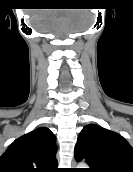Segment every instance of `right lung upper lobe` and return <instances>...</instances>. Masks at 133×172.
I'll return each instance as SVG.
<instances>
[{"label": "right lung upper lobe", "instance_id": "1", "mask_svg": "<svg viewBox=\"0 0 133 172\" xmlns=\"http://www.w3.org/2000/svg\"><path fill=\"white\" fill-rule=\"evenodd\" d=\"M55 139L45 127L16 139L0 157V172H57Z\"/></svg>", "mask_w": 133, "mask_h": 172}]
</instances>
